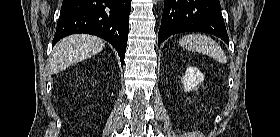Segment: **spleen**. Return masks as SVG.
<instances>
[{
    "label": "spleen",
    "instance_id": "3e777b00",
    "mask_svg": "<svg viewBox=\"0 0 280 137\" xmlns=\"http://www.w3.org/2000/svg\"><path fill=\"white\" fill-rule=\"evenodd\" d=\"M179 44L190 51L206 54L222 64L227 62L226 55L220 45L206 35L189 34L182 37Z\"/></svg>",
    "mask_w": 280,
    "mask_h": 137
}]
</instances>
